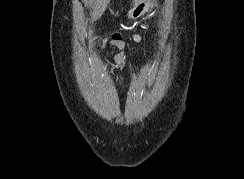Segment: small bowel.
<instances>
[{
    "instance_id": "c3829d8e",
    "label": "small bowel",
    "mask_w": 244,
    "mask_h": 179,
    "mask_svg": "<svg viewBox=\"0 0 244 179\" xmlns=\"http://www.w3.org/2000/svg\"><path fill=\"white\" fill-rule=\"evenodd\" d=\"M133 40L135 42H139L141 40L140 34H135ZM110 45L116 47L119 50V52L115 55V60L118 63V65L121 68L125 67V57L127 55V49H128L127 42L123 39V37L119 33H114L110 40Z\"/></svg>"
}]
</instances>
